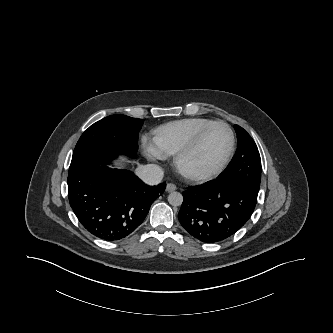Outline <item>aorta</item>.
Listing matches in <instances>:
<instances>
[{
    "label": "aorta",
    "instance_id": "1",
    "mask_svg": "<svg viewBox=\"0 0 333 333\" xmlns=\"http://www.w3.org/2000/svg\"><path fill=\"white\" fill-rule=\"evenodd\" d=\"M168 202L172 206H180L183 202V196L179 192H171L168 196Z\"/></svg>",
    "mask_w": 333,
    "mask_h": 333
}]
</instances>
